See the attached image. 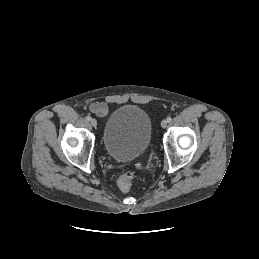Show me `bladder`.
I'll return each instance as SVG.
<instances>
[{
	"mask_svg": "<svg viewBox=\"0 0 259 259\" xmlns=\"http://www.w3.org/2000/svg\"><path fill=\"white\" fill-rule=\"evenodd\" d=\"M152 140L149 115L135 105H123L108 117L102 135L106 153L119 162H130L143 155Z\"/></svg>",
	"mask_w": 259,
	"mask_h": 259,
	"instance_id": "bladder-1",
	"label": "bladder"
}]
</instances>
